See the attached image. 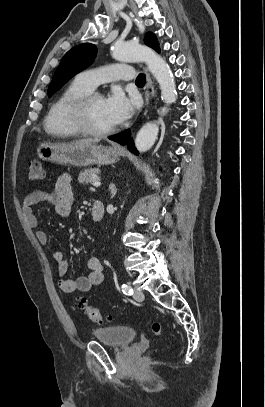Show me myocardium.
Here are the masks:
<instances>
[{
	"label": "myocardium",
	"instance_id": "f54148a6",
	"mask_svg": "<svg viewBox=\"0 0 265 407\" xmlns=\"http://www.w3.org/2000/svg\"><path fill=\"white\" fill-rule=\"evenodd\" d=\"M96 99L103 98L100 94L94 92H89L76 98L68 106L67 119L72 128L79 134L94 138H103L113 134L116 131V127L107 130H95L90 127L88 123V109L91 103Z\"/></svg>",
	"mask_w": 265,
	"mask_h": 407
}]
</instances>
